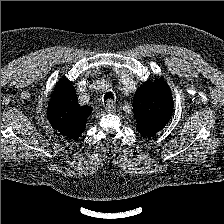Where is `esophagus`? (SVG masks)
Wrapping results in <instances>:
<instances>
[{"mask_svg":"<svg viewBox=\"0 0 224 224\" xmlns=\"http://www.w3.org/2000/svg\"><path fill=\"white\" fill-rule=\"evenodd\" d=\"M105 110L108 113H113L115 111V106H114L113 101L111 99L106 101Z\"/></svg>","mask_w":224,"mask_h":224,"instance_id":"34e87169","label":"esophagus"}]
</instances>
